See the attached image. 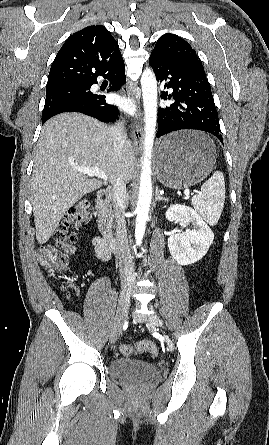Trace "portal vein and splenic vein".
Instances as JSON below:
<instances>
[{
  "mask_svg": "<svg viewBox=\"0 0 269 445\" xmlns=\"http://www.w3.org/2000/svg\"><path fill=\"white\" fill-rule=\"evenodd\" d=\"M79 172H82L84 174H87L88 176H96L102 180H104L105 182L107 181L108 177L105 174V172H103L102 170H100L99 168L96 167H77L76 168ZM185 195L188 197L190 195V190L186 189L185 190Z\"/></svg>",
  "mask_w": 269,
  "mask_h": 445,
  "instance_id": "obj_1",
  "label": "portal vein and splenic vein"
}]
</instances>
